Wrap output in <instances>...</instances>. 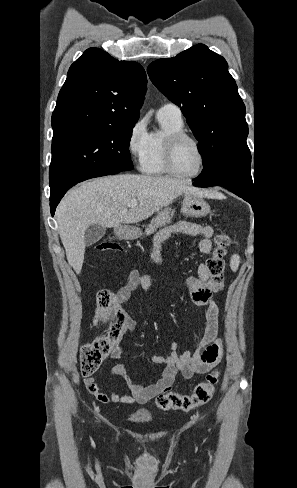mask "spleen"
<instances>
[{"label":"spleen","instance_id":"3e777b00","mask_svg":"<svg viewBox=\"0 0 297 488\" xmlns=\"http://www.w3.org/2000/svg\"><path fill=\"white\" fill-rule=\"evenodd\" d=\"M239 264H240V256L238 254H234L232 257H231V260H230V267L233 271H237L238 267H239Z\"/></svg>","mask_w":297,"mask_h":488}]
</instances>
